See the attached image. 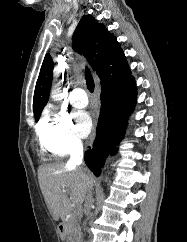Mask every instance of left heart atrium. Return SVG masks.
Instances as JSON below:
<instances>
[{
	"label": "left heart atrium",
	"instance_id": "1",
	"mask_svg": "<svg viewBox=\"0 0 187 242\" xmlns=\"http://www.w3.org/2000/svg\"><path fill=\"white\" fill-rule=\"evenodd\" d=\"M76 131L81 137H86L92 130L93 120L86 111H78L75 113Z\"/></svg>",
	"mask_w": 187,
	"mask_h": 242
}]
</instances>
